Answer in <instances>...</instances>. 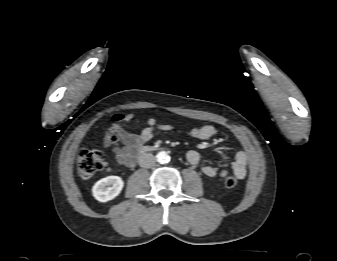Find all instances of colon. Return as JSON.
Returning <instances> with one entry per match:
<instances>
[{"label":"colon","instance_id":"5ec220e1","mask_svg":"<svg viewBox=\"0 0 337 261\" xmlns=\"http://www.w3.org/2000/svg\"><path fill=\"white\" fill-rule=\"evenodd\" d=\"M106 140L113 149V151L118 150L117 142L118 137L115 133L114 128H109ZM105 161L101 152L97 150H80L77 156V173L81 179H89L101 171L104 167ZM224 184L228 188H234L237 185V179L232 176H226Z\"/></svg>","mask_w":337,"mask_h":261}]
</instances>
